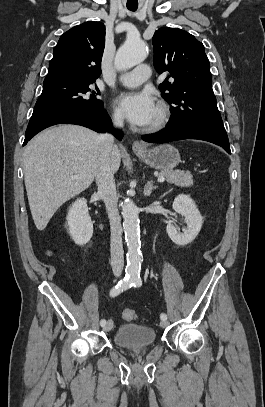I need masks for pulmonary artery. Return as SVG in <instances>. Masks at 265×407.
<instances>
[{"mask_svg":"<svg viewBox=\"0 0 265 407\" xmlns=\"http://www.w3.org/2000/svg\"><path fill=\"white\" fill-rule=\"evenodd\" d=\"M150 77V68L148 65H140L135 69L122 74L119 82L127 87H136L144 83Z\"/></svg>","mask_w":265,"mask_h":407,"instance_id":"1","label":"pulmonary artery"}]
</instances>
